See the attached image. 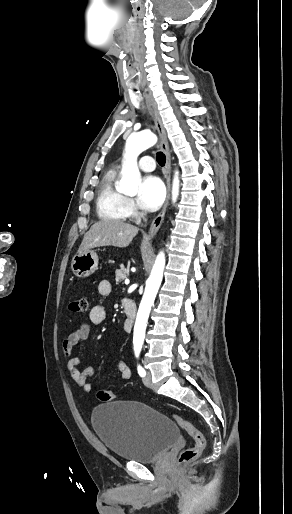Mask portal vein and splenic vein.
<instances>
[{
	"label": "portal vein and splenic vein",
	"instance_id": "obj_1",
	"mask_svg": "<svg viewBox=\"0 0 292 514\" xmlns=\"http://www.w3.org/2000/svg\"><path fill=\"white\" fill-rule=\"evenodd\" d=\"M125 284H130V280H125Z\"/></svg>",
	"mask_w": 292,
	"mask_h": 514
}]
</instances>
